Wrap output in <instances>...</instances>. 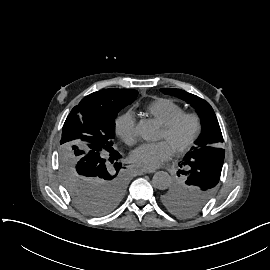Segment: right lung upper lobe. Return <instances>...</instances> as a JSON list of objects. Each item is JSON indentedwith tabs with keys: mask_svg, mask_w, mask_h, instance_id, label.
Segmentation results:
<instances>
[{
	"mask_svg": "<svg viewBox=\"0 0 270 270\" xmlns=\"http://www.w3.org/2000/svg\"><path fill=\"white\" fill-rule=\"evenodd\" d=\"M110 91H109V89H105V91H104V93H109Z\"/></svg>",
	"mask_w": 270,
	"mask_h": 270,
	"instance_id": "right-lung-upper-lobe-1",
	"label": "right lung upper lobe"
}]
</instances>
